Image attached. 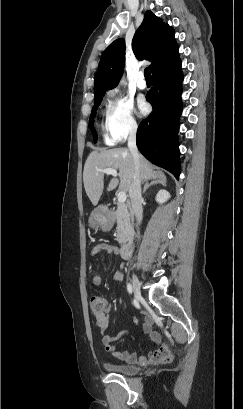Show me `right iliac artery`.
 <instances>
[{"instance_id":"obj_1","label":"right iliac artery","mask_w":243,"mask_h":409,"mask_svg":"<svg viewBox=\"0 0 243 409\" xmlns=\"http://www.w3.org/2000/svg\"><path fill=\"white\" fill-rule=\"evenodd\" d=\"M127 290H128V292H129L130 294H132L133 289H132L131 284H128V285H127Z\"/></svg>"}]
</instances>
